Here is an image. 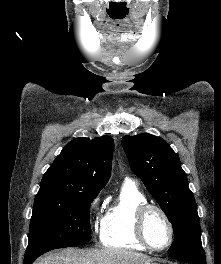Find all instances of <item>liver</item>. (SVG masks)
<instances>
[{
	"label": "liver",
	"mask_w": 221,
	"mask_h": 264,
	"mask_svg": "<svg viewBox=\"0 0 221 264\" xmlns=\"http://www.w3.org/2000/svg\"><path fill=\"white\" fill-rule=\"evenodd\" d=\"M150 262L152 260L147 255L124 249L67 248L45 255L34 264H149Z\"/></svg>",
	"instance_id": "6515ba94"
}]
</instances>
